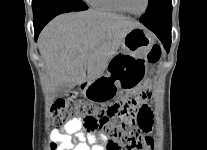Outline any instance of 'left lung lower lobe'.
Returning a JSON list of instances; mask_svg holds the SVG:
<instances>
[{
  "label": "left lung lower lobe",
  "mask_w": 207,
  "mask_h": 150,
  "mask_svg": "<svg viewBox=\"0 0 207 150\" xmlns=\"http://www.w3.org/2000/svg\"><path fill=\"white\" fill-rule=\"evenodd\" d=\"M143 24L157 35V37L163 43L166 51L169 52L170 45H171V27H172L171 19L161 22H152V23H143Z\"/></svg>",
  "instance_id": "left-lung-lower-lobe-1"
}]
</instances>
